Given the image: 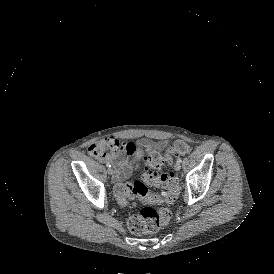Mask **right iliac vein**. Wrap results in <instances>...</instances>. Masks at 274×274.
I'll return each instance as SVG.
<instances>
[{
    "mask_svg": "<svg viewBox=\"0 0 274 274\" xmlns=\"http://www.w3.org/2000/svg\"><path fill=\"white\" fill-rule=\"evenodd\" d=\"M108 174H109V175H113V174H114L113 168H109V169H108Z\"/></svg>",
    "mask_w": 274,
    "mask_h": 274,
    "instance_id": "63e3f726",
    "label": "right iliac vein"
}]
</instances>
